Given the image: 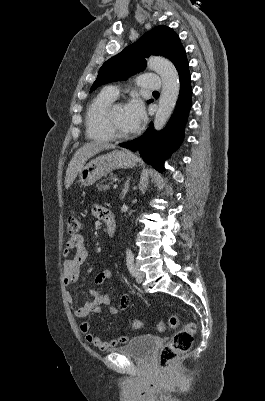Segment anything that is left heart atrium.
I'll return each mask as SVG.
<instances>
[{"instance_id": "39dd6f15", "label": "left heart atrium", "mask_w": 265, "mask_h": 401, "mask_svg": "<svg viewBox=\"0 0 265 401\" xmlns=\"http://www.w3.org/2000/svg\"><path fill=\"white\" fill-rule=\"evenodd\" d=\"M126 119L131 128H139L145 119V108L143 102L139 98H133L125 106Z\"/></svg>"}]
</instances>
